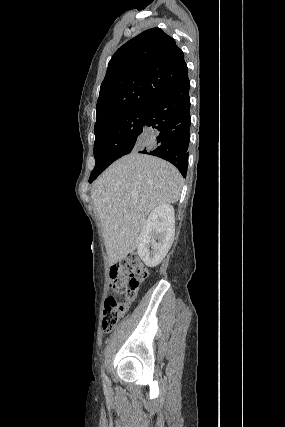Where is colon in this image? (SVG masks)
Masks as SVG:
<instances>
[{
	"instance_id": "colon-1",
	"label": "colon",
	"mask_w": 285,
	"mask_h": 427,
	"mask_svg": "<svg viewBox=\"0 0 285 427\" xmlns=\"http://www.w3.org/2000/svg\"><path fill=\"white\" fill-rule=\"evenodd\" d=\"M147 276L145 265L136 257L121 260L109 272L110 288L105 300L102 320L104 333L111 332L125 313L128 302L135 296L141 281ZM121 296H125L122 300Z\"/></svg>"
}]
</instances>
